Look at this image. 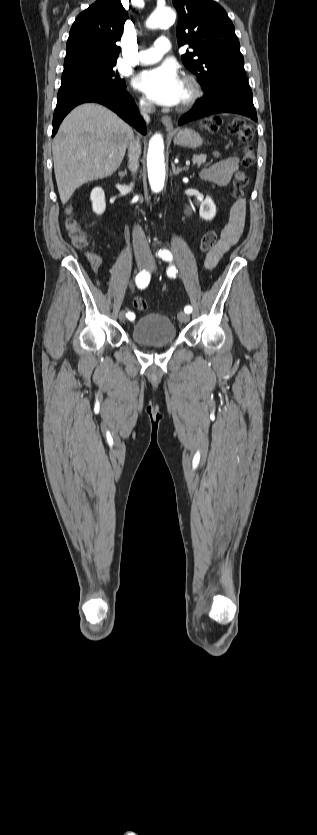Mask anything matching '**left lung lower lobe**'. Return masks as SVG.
Wrapping results in <instances>:
<instances>
[{
	"mask_svg": "<svg viewBox=\"0 0 317 835\" xmlns=\"http://www.w3.org/2000/svg\"><path fill=\"white\" fill-rule=\"evenodd\" d=\"M216 113H236L257 121L252 91L246 78L231 79L215 94L204 95L179 120V125Z\"/></svg>",
	"mask_w": 317,
	"mask_h": 835,
	"instance_id": "0a47b994",
	"label": "left lung lower lobe"
}]
</instances>
